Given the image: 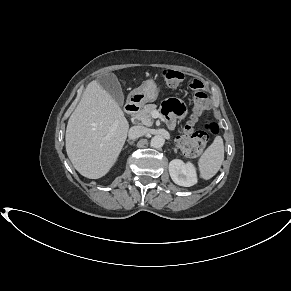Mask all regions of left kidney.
Masks as SVG:
<instances>
[{
  "mask_svg": "<svg viewBox=\"0 0 291 291\" xmlns=\"http://www.w3.org/2000/svg\"><path fill=\"white\" fill-rule=\"evenodd\" d=\"M169 173L173 182L179 186L190 187L197 183L196 168L191 162L174 159L169 163Z\"/></svg>",
  "mask_w": 291,
  "mask_h": 291,
  "instance_id": "5707ae66",
  "label": "left kidney"
}]
</instances>
